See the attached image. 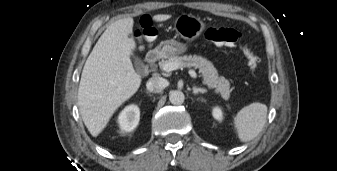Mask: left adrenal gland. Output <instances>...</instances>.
Masks as SVG:
<instances>
[{"mask_svg": "<svg viewBox=\"0 0 337 171\" xmlns=\"http://www.w3.org/2000/svg\"><path fill=\"white\" fill-rule=\"evenodd\" d=\"M207 92V90L206 89H203V88H193V91H192V93L193 94H199V93H206Z\"/></svg>", "mask_w": 337, "mask_h": 171, "instance_id": "obj_1", "label": "left adrenal gland"}]
</instances>
